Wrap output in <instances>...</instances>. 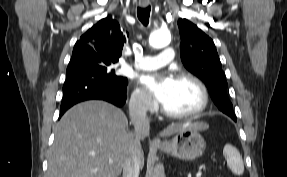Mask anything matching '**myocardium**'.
Masks as SVG:
<instances>
[{"label":"myocardium","mask_w":287,"mask_h":177,"mask_svg":"<svg viewBox=\"0 0 287 177\" xmlns=\"http://www.w3.org/2000/svg\"><path fill=\"white\" fill-rule=\"evenodd\" d=\"M177 81H188L194 84L199 90L201 101L199 106L192 112H171L167 110L163 105L161 106L162 113L169 117L175 119H184V118H194L200 115L206 110L209 105V92L205 84L196 76L189 73H180L176 77Z\"/></svg>","instance_id":"f54148a6"}]
</instances>
